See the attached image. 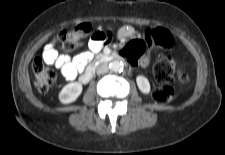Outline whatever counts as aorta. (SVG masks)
<instances>
[{
    "mask_svg": "<svg viewBox=\"0 0 225 155\" xmlns=\"http://www.w3.org/2000/svg\"><path fill=\"white\" fill-rule=\"evenodd\" d=\"M109 68L113 72H122L124 68V64L121 61L115 60L110 62Z\"/></svg>",
    "mask_w": 225,
    "mask_h": 155,
    "instance_id": "aorta-1",
    "label": "aorta"
}]
</instances>
